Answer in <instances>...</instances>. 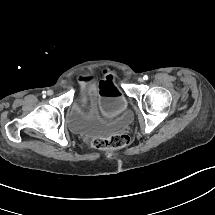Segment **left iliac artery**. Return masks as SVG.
Listing matches in <instances>:
<instances>
[{"mask_svg":"<svg viewBox=\"0 0 215 215\" xmlns=\"http://www.w3.org/2000/svg\"><path fill=\"white\" fill-rule=\"evenodd\" d=\"M143 79H144V80H148V76H147V75H144Z\"/></svg>","mask_w":215,"mask_h":215,"instance_id":"obj_1","label":"left iliac artery"}]
</instances>
